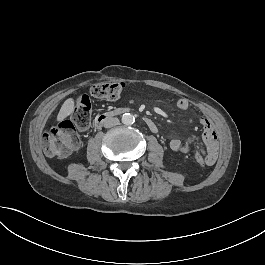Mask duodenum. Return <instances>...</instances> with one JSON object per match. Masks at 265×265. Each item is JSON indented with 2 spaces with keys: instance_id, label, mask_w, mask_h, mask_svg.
Returning <instances> with one entry per match:
<instances>
[{
  "instance_id": "duodenum-1",
  "label": "duodenum",
  "mask_w": 265,
  "mask_h": 265,
  "mask_svg": "<svg viewBox=\"0 0 265 265\" xmlns=\"http://www.w3.org/2000/svg\"><path fill=\"white\" fill-rule=\"evenodd\" d=\"M122 112H124V109L123 108H118V109H115V110H110V111L101 113V114H99L96 117V125L98 127H100L105 121L115 117L116 115L121 114ZM142 120L151 131H153V132H157L158 131L157 124L150 117L144 116L142 118Z\"/></svg>"
}]
</instances>
